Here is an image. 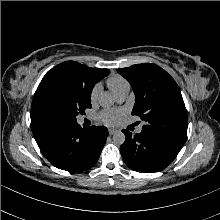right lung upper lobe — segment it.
I'll return each instance as SVG.
<instances>
[{"label":"right lung upper lobe","mask_w":220,"mask_h":220,"mask_svg":"<svg viewBox=\"0 0 220 220\" xmlns=\"http://www.w3.org/2000/svg\"><path fill=\"white\" fill-rule=\"evenodd\" d=\"M56 67L82 68L84 70H87L91 74V76H92V80H93L94 85H95L96 82H98L99 80L103 79L105 76H107L110 73V71L108 69L89 68V67H87L85 65L79 64V63L74 62V61L63 62V63L57 65ZM30 115H31V121H33L35 119H43L36 112V109H35V106L33 104V101H32Z\"/></svg>","instance_id":"right-lung-upper-lobe-1"}]
</instances>
